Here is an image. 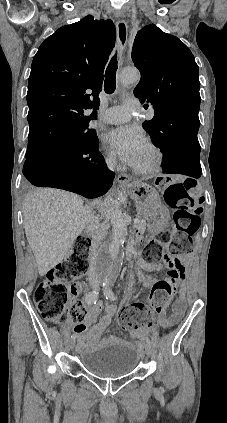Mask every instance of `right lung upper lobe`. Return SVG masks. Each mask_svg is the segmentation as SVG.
Returning a JSON list of instances; mask_svg holds the SVG:
<instances>
[{
	"label": "right lung upper lobe",
	"mask_w": 227,
	"mask_h": 423,
	"mask_svg": "<svg viewBox=\"0 0 227 423\" xmlns=\"http://www.w3.org/2000/svg\"><path fill=\"white\" fill-rule=\"evenodd\" d=\"M115 35L111 21L86 16L59 28L40 45L28 81L26 155L68 146L95 133L88 127L96 114L85 116L84 112L99 105Z\"/></svg>",
	"instance_id": "right-lung-upper-lobe-1"
}]
</instances>
